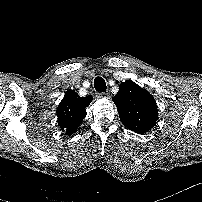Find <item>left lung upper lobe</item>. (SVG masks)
Wrapping results in <instances>:
<instances>
[{
  "label": "left lung upper lobe",
  "mask_w": 202,
  "mask_h": 202,
  "mask_svg": "<svg viewBox=\"0 0 202 202\" xmlns=\"http://www.w3.org/2000/svg\"><path fill=\"white\" fill-rule=\"evenodd\" d=\"M125 127L138 134L152 129L158 119L157 105L150 93L132 80L121 84L113 98Z\"/></svg>",
  "instance_id": "obj_1"
}]
</instances>
